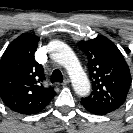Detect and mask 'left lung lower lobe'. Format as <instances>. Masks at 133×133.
<instances>
[{
  "instance_id": "obj_1",
  "label": "left lung lower lobe",
  "mask_w": 133,
  "mask_h": 133,
  "mask_svg": "<svg viewBox=\"0 0 133 133\" xmlns=\"http://www.w3.org/2000/svg\"><path fill=\"white\" fill-rule=\"evenodd\" d=\"M84 106V105H83ZM84 108L89 111L90 113H94V114H97V115H105L107 113H103V112H99L97 110H94V109H90V108H87L86 106H84Z\"/></svg>"
}]
</instances>
